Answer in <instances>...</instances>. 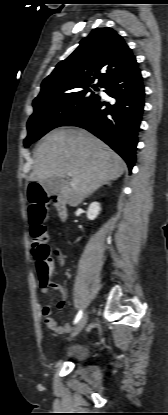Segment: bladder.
<instances>
[{"mask_svg":"<svg viewBox=\"0 0 168 415\" xmlns=\"http://www.w3.org/2000/svg\"><path fill=\"white\" fill-rule=\"evenodd\" d=\"M69 356L75 361H83L88 356V350L86 347L78 345L70 349Z\"/></svg>","mask_w":168,"mask_h":415,"instance_id":"31cf9c89","label":"bladder"}]
</instances>
